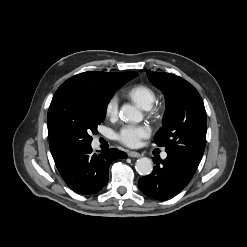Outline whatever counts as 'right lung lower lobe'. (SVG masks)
Wrapping results in <instances>:
<instances>
[{
    "instance_id": "right-lung-lower-lobe-1",
    "label": "right lung lower lobe",
    "mask_w": 247,
    "mask_h": 247,
    "mask_svg": "<svg viewBox=\"0 0 247 247\" xmlns=\"http://www.w3.org/2000/svg\"><path fill=\"white\" fill-rule=\"evenodd\" d=\"M126 157L125 152L115 148L95 154L90 145L72 150L56 166L71 189L80 194H95L107 183L110 164Z\"/></svg>"
}]
</instances>
